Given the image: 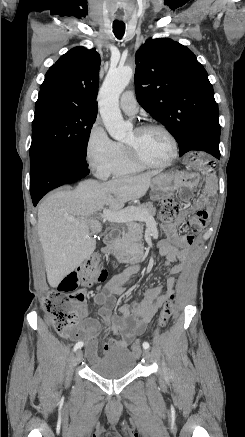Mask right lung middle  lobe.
I'll use <instances>...</instances> for the list:
<instances>
[{
  "mask_svg": "<svg viewBox=\"0 0 245 437\" xmlns=\"http://www.w3.org/2000/svg\"><path fill=\"white\" fill-rule=\"evenodd\" d=\"M96 117L97 112L59 104L35 107L30 164L47 154L86 161L87 143Z\"/></svg>",
  "mask_w": 245,
  "mask_h": 437,
  "instance_id": "right-lung-middle-lobe-1",
  "label": "right lung middle lobe"
}]
</instances>
